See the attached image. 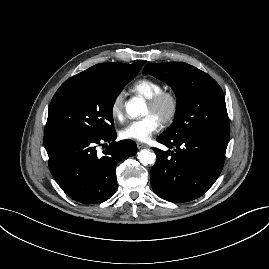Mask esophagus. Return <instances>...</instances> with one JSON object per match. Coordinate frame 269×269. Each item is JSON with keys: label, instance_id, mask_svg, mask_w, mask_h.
<instances>
[{"label": "esophagus", "instance_id": "1", "mask_svg": "<svg viewBox=\"0 0 269 269\" xmlns=\"http://www.w3.org/2000/svg\"><path fill=\"white\" fill-rule=\"evenodd\" d=\"M137 147H138V149H142V148H148L149 146L147 144L138 142Z\"/></svg>", "mask_w": 269, "mask_h": 269}]
</instances>
